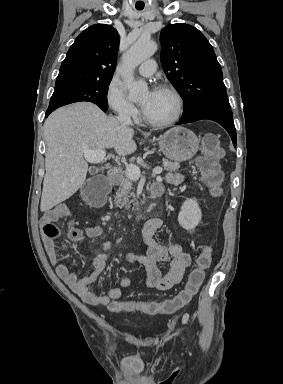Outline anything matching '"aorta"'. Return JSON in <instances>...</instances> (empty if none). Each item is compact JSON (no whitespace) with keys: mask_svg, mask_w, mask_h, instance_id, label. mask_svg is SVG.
Masks as SVG:
<instances>
[{"mask_svg":"<svg viewBox=\"0 0 283 384\" xmlns=\"http://www.w3.org/2000/svg\"><path fill=\"white\" fill-rule=\"evenodd\" d=\"M157 50L155 42L140 38L123 55L121 75L130 98H138L146 93L148 87L144 81H136L133 76L134 69L143 61L150 58Z\"/></svg>","mask_w":283,"mask_h":384,"instance_id":"aorta-1","label":"aorta"}]
</instances>
